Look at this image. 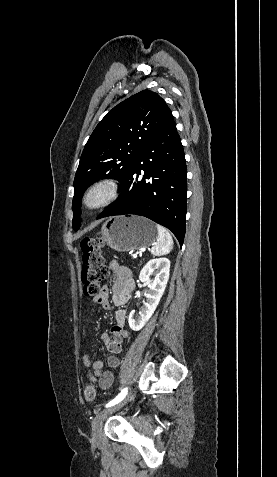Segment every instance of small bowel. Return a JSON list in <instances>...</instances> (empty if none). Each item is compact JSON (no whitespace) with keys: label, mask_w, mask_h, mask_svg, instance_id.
<instances>
[{"label":"small bowel","mask_w":277,"mask_h":477,"mask_svg":"<svg viewBox=\"0 0 277 477\" xmlns=\"http://www.w3.org/2000/svg\"><path fill=\"white\" fill-rule=\"evenodd\" d=\"M108 267L115 275V280L112 286V302L116 306L124 305L130 298L134 289V280L130 269L122 266L115 260L108 263ZM101 306L108 310L111 308L109 299V291L106 287L103 288L101 296L98 300ZM116 324L112 328L111 336L107 333L101 334V339L106 348L110 352L106 362L110 368L119 366V359L116 354L122 350L123 341L129 336L128 331L125 330L126 311L120 309L115 315ZM83 364L88 369V377L96 378L101 389H108L114 381V374L111 370L102 371L104 363L102 361L92 362L89 354L83 356Z\"/></svg>","instance_id":"obj_1"}]
</instances>
